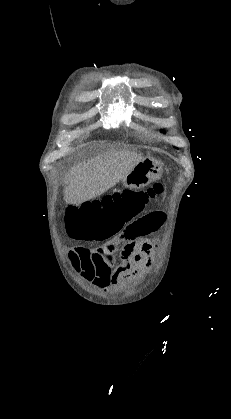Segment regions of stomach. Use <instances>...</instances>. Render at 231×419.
I'll list each match as a JSON object with an SVG mask.
<instances>
[{"instance_id": "1", "label": "stomach", "mask_w": 231, "mask_h": 419, "mask_svg": "<svg viewBox=\"0 0 231 419\" xmlns=\"http://www.w3.org/2000/svg\"><path fill=\"white\" fill-rule=\"evenodd\" d=\"M161 164L153 158H144L122 179L126 188L140 189L161 178Z\"/></svg>"}]
</instances>
